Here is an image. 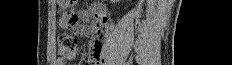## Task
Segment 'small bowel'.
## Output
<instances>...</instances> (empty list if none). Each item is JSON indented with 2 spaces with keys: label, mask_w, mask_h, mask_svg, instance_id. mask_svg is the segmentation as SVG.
I'll return each instance as SVG.
<instances>
[{
  "label": "small bowel",
  "mask_w": 232,
  "mask_h": 65,
  "mask_svg": "<svg viewBox=\"0 0 232 65\" xmlns=\"http://www.w3.org/2000/svg\"><path fill=\"white\" fill-rule=\"evenodd\" d=\"M78 18L84 21L93 19V24L85 29H78V34H88L92 39L87 64L100 65L102 54L101 38L103 36V28L109 27L110 20L105 14L103 8L100 6H93L90 10L82 11L81 13L78 12L76 15L74 12H63L61 20L62 30H66V28H74V30H77L75 24H77ZM75 57V51L69 52L57 59V65H66L68 61L74 59Z\"/></svg>",
  "instance_id": "obj_1"
}]
</instances>
